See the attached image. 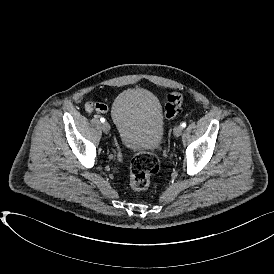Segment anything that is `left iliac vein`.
<instances>
[{
	"label": "left iliac vein",
	"instance_id": "obj_1",
	"mask_svg": "<svg viewBox=\"0 0 274 274\" xmlns=\"http://www.w3.org/2000/svg\"><path fill=\"white\" fill-rule=\"evenodd\" d=\"M182 131H183V128L182 126H176L174 129H173V134L178 137L182 134Z\"/></svg>",
	"mask_w": 274,
	"mask_h": 274
}]
</instances>
